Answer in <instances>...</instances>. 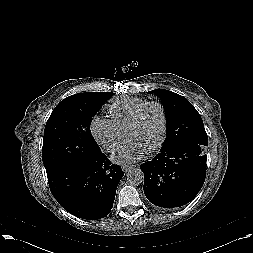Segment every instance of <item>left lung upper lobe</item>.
Listing matches in <instances>:
<instances>
[{"mask_svg":"<svg viewBox=\"0 0 253 253\" xmlns=\"http://www.w3.org/2000/svg\"><path fill=\"white\" fill-rule=\"evenodd\" d=\"M147 93L160 98L166 113L167 137L162 149L185 142L208 145L202 118L185 97L164 89H155Z\"/></svg>","mask_w":253,"mask_h":253,"instance_id":"obj_1","label":"left lung upper lobe"}]
</instances>
